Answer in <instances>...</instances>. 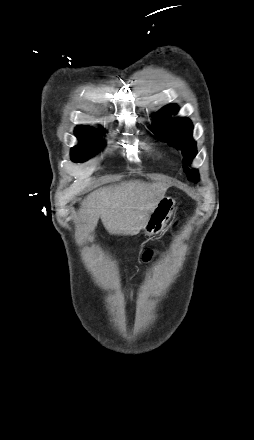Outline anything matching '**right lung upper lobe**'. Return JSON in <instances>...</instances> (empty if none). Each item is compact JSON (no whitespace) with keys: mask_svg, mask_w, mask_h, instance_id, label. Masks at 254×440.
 Masks as SVG:
<instances>
[{"mask_svg":"<svg viewBox=\"0 0 254 440\" xmlns=\"http://www.w3.org/2000/svg\"><path fill=\"white\" fill-rule=\"evenodd\" d=\"M76 129H82V130H89V131H96V132H98V130H95L93 128H90V127H87V126H83V125L78 126Z\"/></svg>","mask_w":254,"mask_h":440,"instance_id":"obj_1","label":"right lung upper lobe"}]
</instances>
